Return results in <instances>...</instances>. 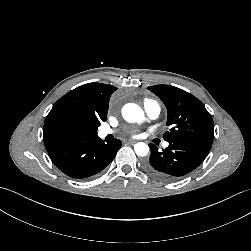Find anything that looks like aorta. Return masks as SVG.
Here are the masks:
<instances>
[{
	"label": "aorta",
	"mask_w": 251,
	"mask_h": 251,
	"mask_svg": "<svg viewBox=\"0 0 251 251\" xmlns=\"http://www.w3.org/2000/svg\"><path fill=\"white\" fill-rule=\"evenodd\" d=\"M123 118L130 123H140L144 120V112L140 106L134 103L126 104L122 109ZM134 151L138 156H146L149 152V147L144 142H139L134 145Z\"/></svg>",
	"instance_id": "aorta-1"
}]
</instances>
